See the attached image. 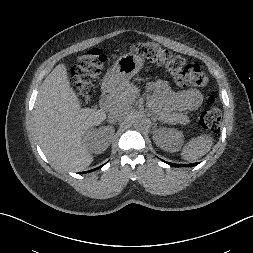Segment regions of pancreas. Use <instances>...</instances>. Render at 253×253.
Masks as SVG:
<instances>
[{
  "label": "pancreas",
  "mask_w": 253,
  "mask_h": 253,
  "mask_svg": "<svg viewBox=\"0 0 253 253\" xmlns=\"http://www.w3.org/2000/svg\"><path fill=\"white\" fill-rule=\"evenodd\" d=\"M136 92L137 88L135 85L129 82H124L111 93V101L121 105H128L133 102ZM148 104L157 114L159 119L166 123H180L186 125L190 122V119L186 114L171 112L170 109L152 97H148Z\"/></svg>",
  "instance_id": "pancreas-1"
}]
</instances>
